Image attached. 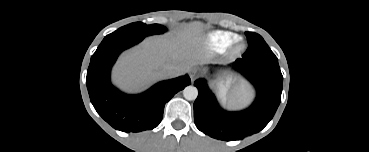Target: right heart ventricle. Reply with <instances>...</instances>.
Returning <instances> with one entry per match:
<instances>
[{"label": "right heart ventricle", "instance_id": "right-heart-ventricle-1", "mask_svg": "<svg viewBox=\"0 0 369 152\" xmlns=\"http://www.w3.org/2000/svg\"><path fill=\"white\" fill-rule=\"evenodd\" d=\"M239 39V36L225 31H214L208 35V46L212 51H222Z\"/></svg>", "mask_w": 369, "mask_h": 152}]
</instances>
